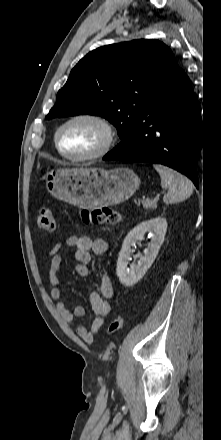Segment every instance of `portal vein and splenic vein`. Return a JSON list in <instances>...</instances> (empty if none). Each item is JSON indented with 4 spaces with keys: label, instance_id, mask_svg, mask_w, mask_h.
<instances>
[{
    "label": "portal vein and splenic vein",
    "instance_id": "1",
    "mask_svg": "<svg viewBox=\"0 0 221 440\" xmlns=\"http://www.w3.org/2000/svg\"><path fill=\"white\" fill-rule=\"evenodd\" d=\"M159 197H160V194H157L156 196H155V198H154V201H158L159 200Z\"/></svg>",
    "mask_w": 221,
    "mask_h": 440
}]
</instances>
